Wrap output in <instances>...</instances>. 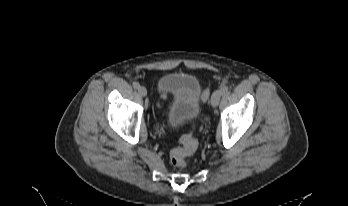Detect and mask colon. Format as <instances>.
I'll return each instance as SVG.
<instances>
[{
	"mask_svg": "<svg viewBox=\"0 0 348 206\" xmlns=\"http://www.w3.org/2000/svg\"><path fill=\"white\" fill-rule=\"evenodd\" d=\"M197 149V141L190 133L181 138V146L175 148L170 153V162L174 167L183 168L186 165L187 157L195 152Z\"/></svg>",
	"mask_w": 348,
	"mask_h": 206,
	"instance_id": "1",
	"label": "colon"
}]
</instances>
